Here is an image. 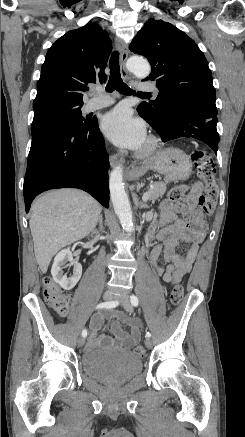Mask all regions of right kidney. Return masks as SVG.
I'll use <instances>...</instances> for the list:
<instances>
[{"label": "right kidney", "mask_w": 245, "mask_h": 437, "mask_svg": "<svg viewBox=\"0 0 245 437\" xmlns=\"http://www.w3.org/2000/svg\"><path fill=\"white\" fill-rule=\"evenodd\" d=\"M67 262L70 263L66 265ZM71 265L74 266V272L73 276L68 279L63 273V268ZM51 274L54 281L65 290H71L77 284L82 275V266L78 261L73 259V254L70 248L61 250L56 255L52 265Z\"/></svg>", "instance_id": "1"}]
</instances>
